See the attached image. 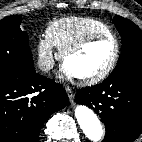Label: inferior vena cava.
Wrapping results in <instances>:
<instances>
[{
    "label": "inferior vena cava",
    "mask_w": 142,
    "mask_h": 142,
    "mask_svg": "<svg viewBox=\"0 0 142 142\" xmlns=\"http://www.w3.org/2000/svg\"><path fill=\"white\" fill-rule=\"evenodd\" d=\"M38 67L42 71H48L51 70L54 67V61L53 60H44L38 63Z\"/></svg>",
    "instance_id": "obj_1"
}]
</instances>
